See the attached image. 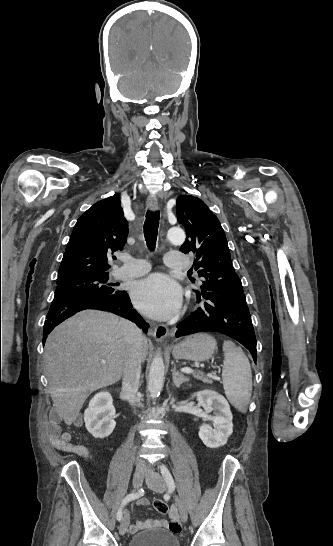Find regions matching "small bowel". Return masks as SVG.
Here are the masks:
<instances>
[{"label":"small bowel","instance_id":"small-bowel-1","mask_svg":"<svg viewBox=\"0 0 333 546\" xmlns=\"http://www.w3.org/2000/svg\"><path fill=\"white\" fill-rule=\"evenodd\" d=\"M60 421H61L60 417H51L49 420L47 433L49 436L50 443L56 448L70 451L72 453H75L83 457L86 460H89L90 455L88 450L82 445L73 444L71 441V436L67 433H62ZM75 424H78V423H75ZM146 503H147L146 501L143 502V504H146ZM169 516L171 518V522H168L166 520H160L157 522H153L151 520L137 521L135 524L130 526V532L135 533L144 527H147L156 523L164 527L169 526L171 531L178 533L180 531V525L178 523V511L175 506L171 507L169 511Z\"/></svg>","mask_w":333,"mask_h":546}]
</instances>
